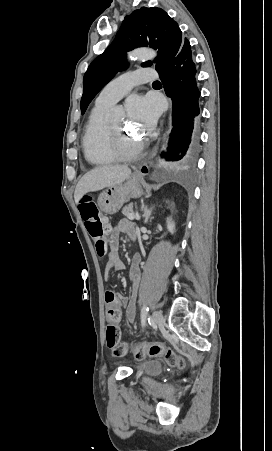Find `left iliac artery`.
Here are the masks:
<instances>
[{
    "label": "left iliac artery",
    "instance_id": "left-iliac-artery-1",
    "mask_svg": "<svg viewBox=\"0 0 272 451\" xmlns=\"http://www.w3.org/2000/svg\"><path fill=\"white\" fill-rule=\"evenodd\" d=\"M149 311V307L144 304L141 310V325L144 327L146 323L147 314Z\"/></svg>",
    "mask_w": 272,
    "mask_h": 451
}]
</instances>
